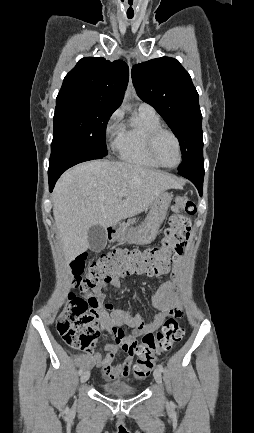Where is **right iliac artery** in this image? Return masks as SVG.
Here are the masks:
<instances>
[{
	"label": "right iliac artery",
	"instance_id": "right-iliac-artery-1",
	"mask_svg": "<svg viewBox=\"0 0 254 433\" xmlns=\"http://www.w3.org/2000/svg\"><path fill=\"white\" fill-rule=\"evenodd\" d=\"M82 372H83V369L81 368V369H79V372H78V374H79V375H81V374H82Z\"/></svg>",
	"mask_w": 254,
	"mask_h": 433
}]
</instances>
